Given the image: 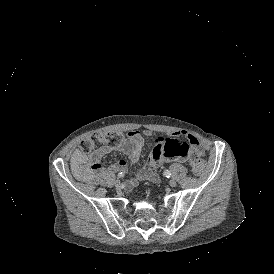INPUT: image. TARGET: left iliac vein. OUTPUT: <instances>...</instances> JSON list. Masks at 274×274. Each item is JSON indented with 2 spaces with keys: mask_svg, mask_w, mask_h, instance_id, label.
I'll list each match as a JSON object with an SVG mask.
<instances>
[{
  "mask_svg": "<svg viewBox=\"0 0 274 274\" xmlns=\"http://www.w3.org/2000/svg\"><path fill=\"white\" fill-rule=\"evenodd\" d=\"M169 185H170L171 187H175V186L177 185V180H176V179H171V180L169 181Z\"/></svg>",
  "mask_w": 274,
  "mask_h": 274,
  "instance_id": "1",
  "label": "left iliac vein"
}]
</instances>
